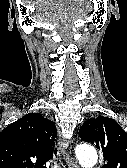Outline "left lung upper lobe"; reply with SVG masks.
<instances>
[{"label":"left lung upper lobe","instance_id":"1","mask_svg":"<svg viewBox=\"0 0 127 168\" xmlns=\"http://www.w3.org/2000/svg\"><path fill=\"white\" fill-rule=\"evenodd\" d=\"M79 137L100 149L102 168H127V132L114 119L98 116L87 120Z\"/></svg>","mask_w":127,"mask_h":168}]
</instances>
